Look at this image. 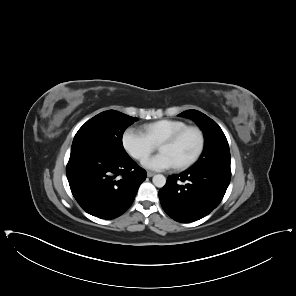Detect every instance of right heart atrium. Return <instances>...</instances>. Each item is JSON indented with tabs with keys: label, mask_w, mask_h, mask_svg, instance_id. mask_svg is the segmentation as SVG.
I'll list each match as a JSON object with an SVG mask.
<instances>
[{
	"label": "right heart atrium",
	"mask_w": 296,
	"mask_h": 296,
	"mask_svg": "<svg viewBox=\"0 0 296 296\" xmlns=\"http://www.w3.org/2000/svg\"><path fill=\"white\" fill-rule=\"evenodd\" d=\"M123 144L127 152L134 158L144 160L157 148L147 134L139 130L130 129L123 137Z\"/></svg>",
	"instance_id": "d8ad5b80"
}]
</instances>
